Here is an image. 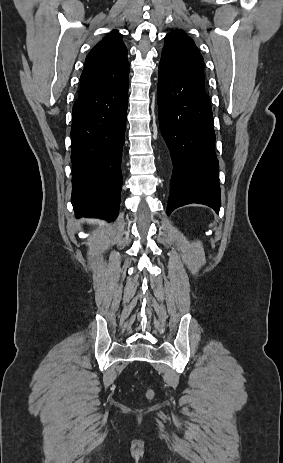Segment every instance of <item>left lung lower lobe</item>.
Returning a JSON list of instances; mask_svg holds the SVG:
<instances>
[{
    "label": "left lung lower lobe",
    "mask_w": 283,
    "mask_h": 463,
    "mask_svg": "<svg viewBox=\"0 0 283 463\" xmlns=\"http://www.w3.org/2000/svg\"><path fill=\"white\" fill-rule=\"evenodd\" d=\"M158 72L159 123L173 164L167 214L190 203L218 212L219 172L209 95L162 60Z\"/></svg>",
    "instance_id": "left-lung-lower-lobe-1"
}]
</instances>
